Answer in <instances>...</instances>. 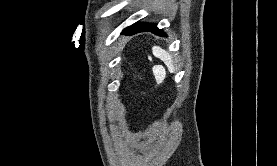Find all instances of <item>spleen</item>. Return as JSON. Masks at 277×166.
<instances>
[{
  "instance_id": "spleen-1",
  "label": "spleen",
  "mask_w": 277,
  "mask_h": 166,
  "mask_svg": "<svg viewBox=\"0 0 277 166\" xmlns=\"http://www.w3.org/2000/svg\"><path fill=\"white\" fill-rule=\"evenodd\" d=\"M152 53L155 57L162 60L171 72L174 71V65L172 63V57L169 53H167L164 49H162L159 46H153L152 47Z\"/></svg>"
}]
</instances>
